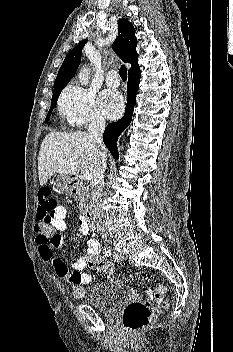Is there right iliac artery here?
Wrapping results in <instances>:
<instances>
[{
    "label": "right iliac artery",
    "mask_w": 233,
    "mask_h": 352,
    "mask_svg": "<svg viewBox=\"0 0 233 352\" xmlns=\"http://www.w3.org/2000/svg\"><path fill=\"white\" fill-rule=\"evenodd\" d=\"M104 255L107 256V257L111 255L110 248L107 247V248L104 249Z\"/></svg>",
    "instance_id": "82829eb1"
}]
</instances>
